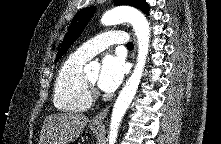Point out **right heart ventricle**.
Masks as SVG:
<instances>
[{"label":"right heart ventricle","instance_id":"obj_1","mask_svg":"<svg viewBox=\"0 0 221 144\" xmlns=\"http://www.w3.org/2000/svg\"><path fill=\"white\" fill-rule=\"evenodd\" d=\"M87 59L77 53L69 55L61 64L54 84V106L65 112H82L91 105L83 67Z\"/></svg>","mask_w":221,"mask_h":144}]
</instances>
